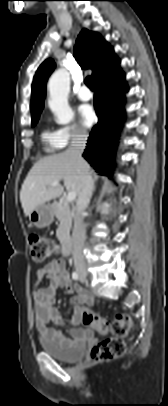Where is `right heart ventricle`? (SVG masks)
Segmentation results:
<instances>
[{"label": "right heart ventricle", "instance_id": "e07e8e85", "mask_svg": "<svg viewBox=\"0 0 168 406\" xmlns=\"http://www.w3.org/2000/svg\"><path fill=\"white\" fill-rule=\"evenodd\" d=\"M41 139L45 146L46 151L54 152L64 147L59 139L57 131L52 130L49 127H45L41 133Z\"/></svg>", "mask_w": 168, "mask_h": 406}]
</instances>
